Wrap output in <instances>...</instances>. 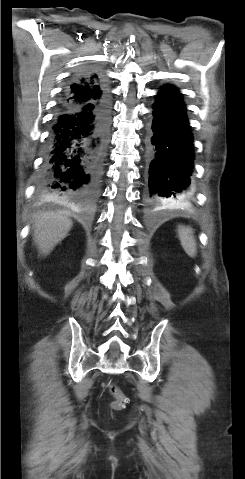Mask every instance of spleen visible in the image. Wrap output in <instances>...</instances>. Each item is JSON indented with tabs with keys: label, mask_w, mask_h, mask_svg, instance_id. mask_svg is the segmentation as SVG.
Instances as JSON below:
<instances>
[{
	"label": "spleen",
	"mask_w": 245,
	"mask_h": 479,
	"mask_svg": "<svg viewBox=\"0 0 245 479\" xmlns=\"http://www.w3.org/2000/svg\"><path fill=\"white\" fill-rule=\"evenodd\" d=\"M178 235L182 248L186 254L191 258L195 257L197 253V247L192 230L185 226H179Z\"/></svg>",
	"instance_id": "3e777b00"
}]
</instances>
